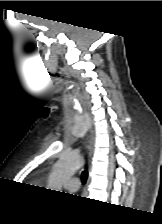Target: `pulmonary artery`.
<instances>
[{
    "label": "pulmonary artery",
    "instance_id": "e3ab8cb5",
    "mask_svg": "<svg viewBox=\"0 0 162 224\" xmlns=\"http://www.w3.org/2000/svg\"><path fill=\"white\" fill-rule=\"evenodd\" d=\"M79 186H80V179L76 176L70 178L66 184V187L71 192L77 191L79 189Z\"/></svg>",
    "mask_w": 162,
    "mask_h": 224
}]
</instances>
